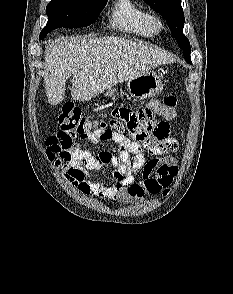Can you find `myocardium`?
<instances>
[{
    "mask_svg": "<svg viewBox=\"0 0 233 294\" xmlns=\"http://www.w3.org/2000/svg\"><path fill=\"white\" fill-rule=\"evenodd\" d=\"M150 24L155 32L164 28L163 20L157 15H150Z\"/></svg>",
    "mask_w": 233,
    "mask_h": 294,
    "instance_id": "f54148a6",
    "label": "myocardium"
}]
</instances>
